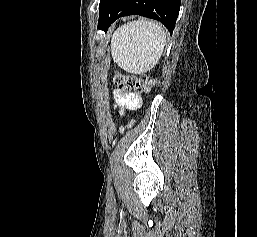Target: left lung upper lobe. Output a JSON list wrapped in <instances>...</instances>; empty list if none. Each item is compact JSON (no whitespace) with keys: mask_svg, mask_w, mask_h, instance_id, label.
I'll list each match as a JSON object with an SVG mask.
<instances>
[{"mask_svg":"<svg viewBox=\"0 0 257 237\" xmlns=\"http://www.w3.org/2000/svg\"><path fill=\"white\" fill-rule=\"evenodd\" d=\"M107 2L108 0H100L99 11L103 9Z\"/></svg>","mask_w":257,"mask_h":237,"instance_id":"5c2ea615","label":"left lung upper lobe"}]
</instances>
